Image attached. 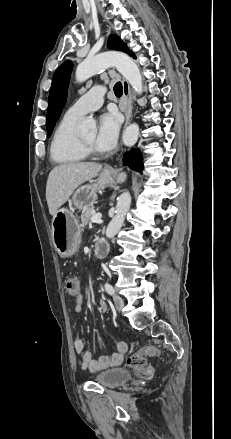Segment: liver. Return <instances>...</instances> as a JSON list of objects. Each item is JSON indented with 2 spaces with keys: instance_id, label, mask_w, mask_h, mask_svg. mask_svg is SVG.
Wrapping results in <instances>:
<instances>
[{
  "instance_id": "obj_1",
  "label": "liver",
  "mask_w": 231,
  "mask_h": 439,
  "mask_svg": "<svg viewBox=\"0 0 231 439\" xmlns=\"http://www.w3.org/2000/svg\"><path fill=\"white\" fill-rule=\"evenodd\" d=\"M102 165L96 163H67L54 167L49 173L46 185V200L49 213L56 211L69 199L82 183L96 177Z\"/></svg>"
}]
</instances>
